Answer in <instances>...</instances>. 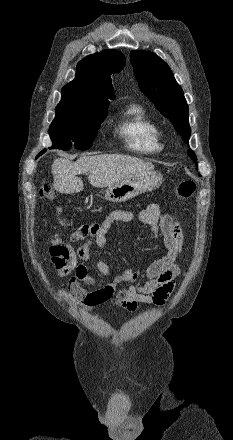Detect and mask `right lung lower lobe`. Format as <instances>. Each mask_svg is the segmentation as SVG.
<instances>
[{
	"label": "right lung lower lobe",
	"instance_id": "obj_1",
	"mask_svg": "<svg viewBox=\"0 0 233 440\" xmlns=\"http://www.w3.org/2000/svg\"><path fill=\"white\" fill-rule=\"evenodd\" d=\"M45 152V150L44 151H42L38 156H40L42 153H44Z\"/></svg>",
	"mask_w": 233,
	"mask_h": 440
}]
</instances>
